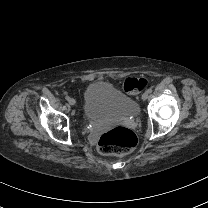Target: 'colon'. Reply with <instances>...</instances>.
I'll return each instance as SVG.
<instances>
[{
    "label": "colon",
    "mask_w": 208,
    "mask_h": 208,
    "mask_svg": "<svg viewBox=\"0 0 208 208\" xmlns=\"http://www.w3.org/2000/svg\"><path fill=\"white\" fill-rule=\"evenodd\" d=\"M147 85L148 81L144 78H127L122 84V89L125 93L133 94L144 90ZM139 142L137 132L125 127H114L100 137L98 148L105 156L127 154L137 147Z\"/></svg>",
    "instance_id": "1"
}]
</instances>
